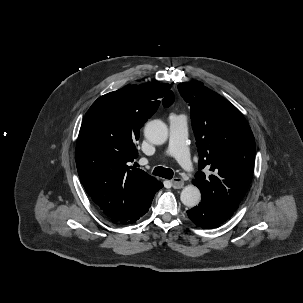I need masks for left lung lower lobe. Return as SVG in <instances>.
Returning a JSON list of instances; mask_svg holds the SVG:
<instances>
[{"label":"left lung lower lobe","mask_w":303,"mask_h":303,"mask_svg":"<svg viewBox=\"0 0 303 303\" xmlns=\"http://www.w3.org/2000/svg\"><path fill=\"white\" fill-rule=\"evenodd\" d=\"M234 212L222 201L209 196H202L201 203L188 210L187 214L198 227L209 229L224 223Z\"/></svg>","instance_id":"obj_1"}]
</instances>
